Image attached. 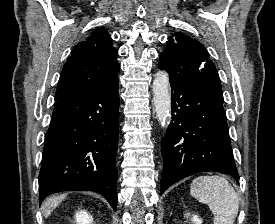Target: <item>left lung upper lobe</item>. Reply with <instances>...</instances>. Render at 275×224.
<instances>
[{"label": "left lung upper lobe", "mask_w": 275, "mask_h": 224, "mask_svg": "<svg viewBox=\"0 0 275 224\" xmlns=\"http://www.w3.org/2000/svg\"><path fill=\"white\" fill-rule=\"evenodd\" d=\"M159 59L158 67L169 73L170 82L194 83L222 96L217 70L199 41L176 32Z\"/></svg>", "instance_id": "obj_1"}]
</instances>
